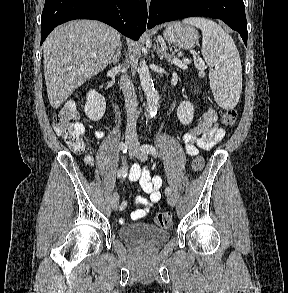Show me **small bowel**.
I'll list each match as a JSON object with an SVG mask.
<instances>
[{
    "mask_svg": "<svg viewBox=\"0 0 288 293\" xmlns=\"http://www.w3.org/2000/svg\"><path fill=\"white\" fill-rule=\"evenodd\" d=\"M98 138L104 136L103 131L96 133ZM225 130L217 124V114L215 110L209 107L200 118L197 125L188 129L182 136V142L185 144L186 153L189 156L198 154L199 149L209 150L223 140ZM129 179L136 184L139 195L136 197V204L141 208L131 213V219L134 221L146 217L151 207L161 199L160 188L162 186V178L159 175L152 176L148 169L142 168L139 164L132 165ZM126 207V202L121 204V208ZM121 223L124 220H120Z\"/></svg>",
    "mask_w": 288,
    "mask_h": 293,
    "instance_id": "1",
    "label": "small bowel"
}]
</instances>
